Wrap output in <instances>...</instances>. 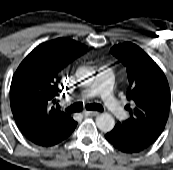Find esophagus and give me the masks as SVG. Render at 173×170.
I'll return each mask as SVG.
<instances>
[{
	"mask_svg": "<svg viewBox=\"0 0 173 170\" xmlns=\"http://www.w3.org/2000/svg\"><path fill=\"white\" fill-rule=\"evenodd\" d=\"M83 114L85 116H97V115H99V112H97V111H84Z\"/></svg>",
	"mask_w": 173,
	"mask_h": 170,
	"instance_id": "1",
	"label": "esophagus"
}]
</instances>
